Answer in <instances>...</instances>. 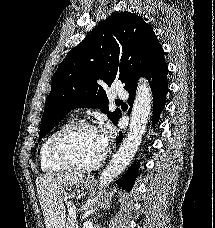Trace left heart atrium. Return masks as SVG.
<instances>
[{"instance_id":"obj_1","label":"left heart atrium","mask_w":215,"mask_h":228,"mask_svg":"<svg viewBox=\"0 0 215 228\" xmlns=\"http://www.w3.org/2000/svg\"><path fill=\"white\" fill-rule=\"evenodd\" d=\"M98 139L101 147L105 150L113 139V129L110 123H106L97 130Z\"/></svg>"}]
</instances>
